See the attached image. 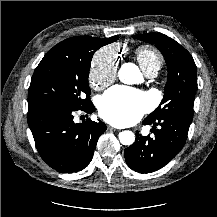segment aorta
<instances>
[{"label": "aorta", "mask_w": 217, "mask_h": 217, "mask_svg": "<svg viewBox=\"0 0 217 217\" xmlns=\"http://www.w3.org/2000/svg\"><path fill=\"white\" fill-rule=\"evenodd\" d=\"M119 79L125 84H135L141 79L139 68L133 63H125L119 70ZM119 141L123 145H132L135 141V135L132 131L125 130L120 132Z\"/></svg>", "instance_id": "1"}]
</instances>
